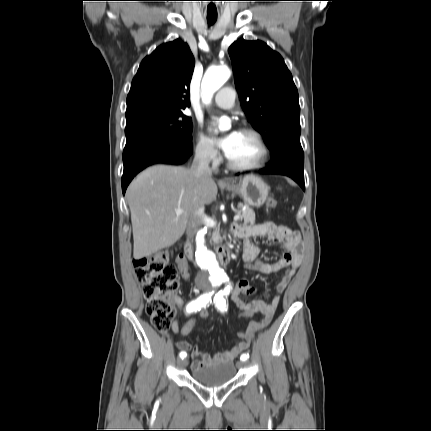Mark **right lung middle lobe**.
<instances>
[{
  "label": "right lung middle lobe",
  "mask_w": 431,
  "mask_h": 431,
  "mask_svg": "<svg viewBox=\"0 0 431 431\" xmlns=\"http://www.w3.org/2000/svg\"><path fill=\"white\" fill-rule=\"evenodd\" d=\"M193 124L183 111L151 112L126 119V139L147 132H161L172 137L191 141Z\"/></svg>",
  "instance_id": "dd1d6c3e"
}]
</instances>
